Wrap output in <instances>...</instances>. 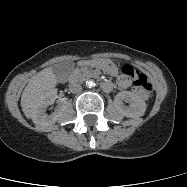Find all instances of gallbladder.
Wrapping results in <instances>:
<instances>
[{"label": "gallbladder", "instance_id": "gallbladder-1", "mask_svg": "<svg viewBox=\"0 0 187 187\" xmlns=\"http://www.w3.org/2000/svg\"><path fill=\"white\" fill-rule=\"evenodd\" d=\"M73 66L72 61H65L54 65L52 70L58 81H64L71 74Z\"/></svg>", "mask_w": 187, "mask_h": 187}]
</instances>
